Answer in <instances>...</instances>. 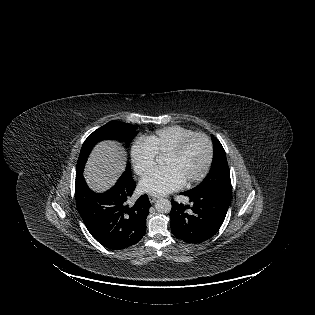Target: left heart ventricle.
Segmentation results:
<instances>
[{"mask_svg":"<svg viewBox=\"0 0 315 315\" xmlns=\"http://www.w3.org/2000/svg\"><path fill=\"white\" fill-rule=\"evenodd\" d=\"M206 158L207 144L204 139L196 138L188 144L182 154L165 156L163 164L175 169L187 181L202 171Z\"/></svg>","mask_w":315,"mask_h":315,"instance_id":"left-heart-ventricle-1","label":"left heart ventricle"}]
</instances>
